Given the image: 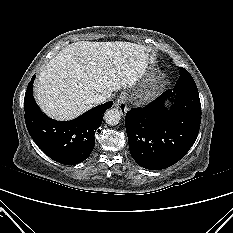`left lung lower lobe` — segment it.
<instances>
[{
	"instance_id": "1",
	"label": "left lung lower lobe",
	"mask_w": 233,
	"mask_h": 233,
	"mask_svg": "<svg viewBox=\"0 0 233 233\" xmlns=\"http://www.w3.org/2000/svg\"><path fill=\"white\" fill-rule=\"evenodd\" d=\"M171 102L166 107L165 102ZM201 104L197 88L167 90L125 117L130 153L138 165L150 170L172 166L194 144L200 129Z\"/></svg>"
}]
</instances>
